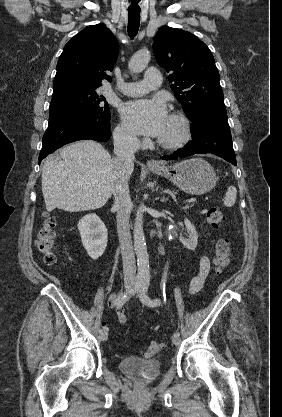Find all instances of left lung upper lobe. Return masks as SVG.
I'll list each match as a JSON object with an SVG mask.
<instances>
[{
	"instance_id": "1",
	"label": "left lung upper lobe",
	"mask_w": 282,
	"mask_h": 417,
	"mask_svg": "<svg viewBox=\"0 0 282 417\" xmlns=\"http://www.w3.org/2000/svg\"><path fill=\"white\" fill-rule=\"evenodd\" d=\"M158 64L167 72L174 95L193 122L197 112L225 106L219 73L207 45L184 30L161 27L154 37Z\"/></svg>"
}]
</instances>
